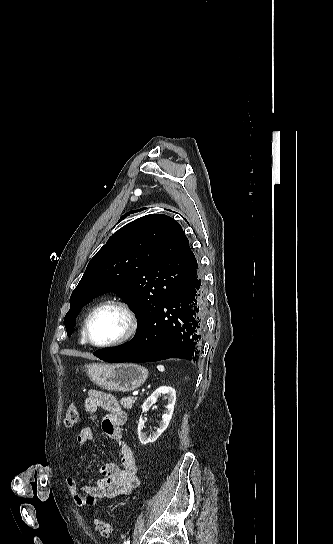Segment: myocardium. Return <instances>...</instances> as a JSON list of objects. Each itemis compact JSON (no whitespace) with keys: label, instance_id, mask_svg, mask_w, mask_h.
I'll use <instances>...</instances> for the list:
<instances>
[{"label":"myocardium","instance_id":"f54148a6","mask_svg":"<svg viewBox=\"0 0 333 544\" xmlns=\"http://www.w3.org/2000/svg\"><path fill=\"white\" fill-rule=\"evenodd\" d=\"M116 306L119 309L123 311V313L126 315L127 318V327L124 331V333L117 339L106 342V343H96L92 341L89 335V325L90 321L93 317V315L101 308L105 306ZM138 317L132 308V306L124 299L119 297H109L106 299H103L99 303H97L88 313L87 317L85 318L84 325H83V337L86 343L89 345L96 347V348H110L119 346L121 344H124L125 342L129 341L137 332L138 330Z\"/></svg>","mask_w":333,"mask_h":544}]
</instances>
